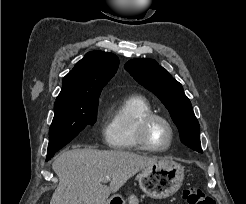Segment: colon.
Listing matches in <instances>:
<instances>
[{"label":"colon","instance_id":"colon-1","mask_svg":"<svg viewBox=\"0 0 246 204\" xmlns=\"http://www.w3.org/2000/svg\"><path fill=\"white\" fill-rule=\"evenodd\" d=\"M182 197L187 204H216L211 197L196 187L185 189L182 193Z\"/></svg>","mask_w":246,"mask_h":204}]
</instances>
